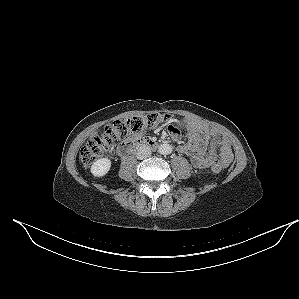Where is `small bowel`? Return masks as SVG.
Here are the masks:
<instances>
[{"mask_svg": "<svg viewBox=\"0 0 299 299\" xmlns=\"http://www.w3.org/2000/svg\"><path fill=\"white\" fill-rule=\"evenodd\" d=\"M188 126L202 136V143L199 146H191L188 142L181 143L178 146V151L188 156L195 168L205 169L216 162L221 163L222 167H226L232 162V149L220 133L215 130H206L203 126L194 122H189ZM171 135L175 139L180 138V133H171ZM216 146L219 147V154L215 150Z\"/></svg>", "mask_w": 299, "mask_h": 299, "instance_id": "small-bowel-1", "label": "small bowel"}]
</instances>
